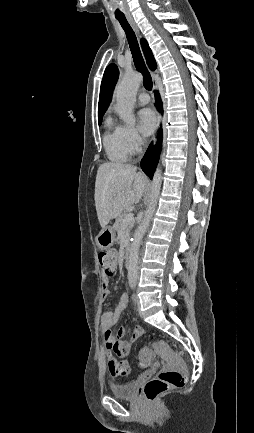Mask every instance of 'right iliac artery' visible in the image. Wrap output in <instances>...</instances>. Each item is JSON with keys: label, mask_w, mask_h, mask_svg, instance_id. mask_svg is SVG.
Returning <instances> with one entry per match:
<instances>
[{"label": "right iliac artery", "mask_w": 254, "mask_h": 433, "mask_svg": "<svg viewBox=\"0 0 254 433\" xmlns=\"http://www.w3.org/2000/svg\"><path fill=\"white\" fill-rule=\"evenodd\" d=\"M130 286L133 288L134 287V283H131Z\"/></svg>", "instance_id": "obj_1"}]
</instances>
